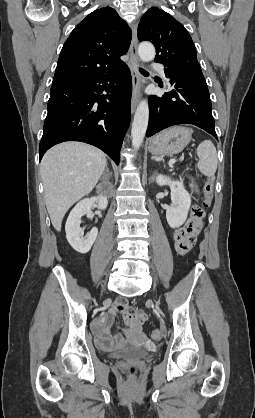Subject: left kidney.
I'll return each mask as SVG.
<instances>
[{"mask_svg":"<svg viewBox=\"0 0 255 418\" xmlns=\"http://www.w3.org/2000/svg\"><path fill=\"white\" fill-rule=\"evenodd\" d=\"M156 183L168 185L171 189V206L166 211V219L171 228L181 226L187 219L191 205V196L185 190L183 181L171 180L168 176L159 174Z\"/></svg>","mask_w":255,"mask_h":418,"instance_id":"left-kidney-1","label":"left kidney"}]
</instances>
